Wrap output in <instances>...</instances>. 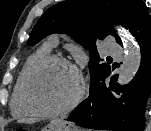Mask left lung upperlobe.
<instances>
[{"label": "left lung upper lobe", "mask_w": 151, "mask_h": 131, "mask_svg": "<svg viewBox=\"0 0 151 131\" xmlns=\"http://www.w3.org/2000/svg\"><path fill=\"white\" fill-rule=\"evenodd\" d=\"M142 0H66L50 7L37 21L27 44L34 45L53 33L68 32L78 43L90 51V86L110 65L99 57L96 41L107 35L121 39L112 30L111 24L131 28Z\"/></svg>", "instance_id": "5c2ea615"}]
</instances>
